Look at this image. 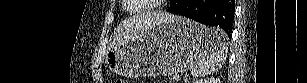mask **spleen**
Segmentation results:
<instances>
[{
	"instance_id": "obj_1",
	"label": "spleen",
	"mask_w": 307,
	"mask_h": 83,
	"mask_svg": "<svg viewBox=\"0 0 307 83\" xmlns=\"http://www.w3.org/2000/svg\"><path fill=\"white\" fill-rule=\"evenodd\" d=\"M210 35L212 48L205 57L193 65L191 74L194 77H203L215 73L226 60L228 46L224 40L223 32L219 29L210 28Z\"/></svg>"
}]
</instances>
